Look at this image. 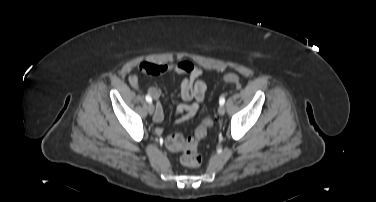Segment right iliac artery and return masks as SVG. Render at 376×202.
I'll use <instances>...</instances> for the list:
<instances>
[{
	"instance_id": "82829eb1",
	"label": "right iliac artery",
	"mask_w": 376,
	"mask_h": 202,
	"mask_svg": "<svg viewBox=\"0 0 376 202\" xmlns=\"http://www.w3.org/2000/svg\"><path fill=\"white\" fill-rule=\"evenodd\" d=\"M145 99L148 103H151L152 102V98L149 96V95H146L145 96Z\"/></svg>"
}]
</instances>
